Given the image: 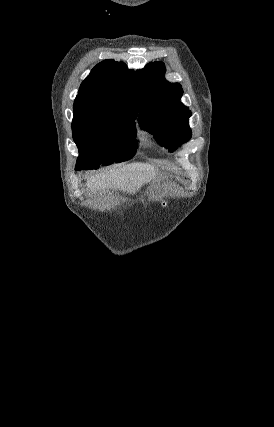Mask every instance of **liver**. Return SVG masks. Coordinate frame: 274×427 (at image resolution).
<instances>
[{
	"mask_svg": "<svg viewBox=\"0 0 274 427\" xmlns=\"http://www.w3.org/2000/svg\"><path fill=\"white\" fill-rule=\"evenodd\" d=\"M156 174L154 166L142 164V162H133L127 166L112 168L109 172H100L95 176H89L86 186L89 192H101L105 188L107 190L114 188V190L135 194L144 184L152 182Z\"/></svg>",
	"mask_w": 274,
	"mask_h": 427,
	"instance_id": "1",
	"label": "liver"
}]
</instances>
